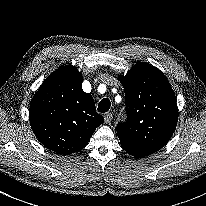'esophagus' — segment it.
Masks as SVG:
<instances>
[{
	"label": "esophagus",
	"mask_w": 206,
	"mask_h": 206,
	"mask_svg": "<svg viewBox=\"0 0 206 206\" xmlns=\"http://www.w3.org/2000/svg\"><path fill=\"white\" fill-rule=\"evenodd\" d=\"M112 118H113L112 113H106V114L104 115L105 123H110L111 120H112Z\"/></svg>",
	"instance_id": "obj_1"
}]
</instances>
